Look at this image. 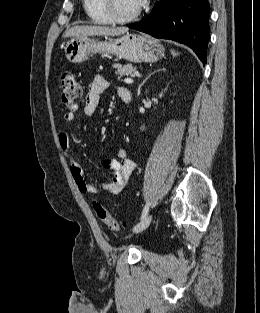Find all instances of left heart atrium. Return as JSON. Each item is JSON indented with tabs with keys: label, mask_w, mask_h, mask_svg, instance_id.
Masks as SVG:
<instances>
[{
	"label": "left heart atrium",
	"mask_w": 260,
	"mask_h": 313,
	"mask_svg": "<svg viewBox=\"0 0 260 313\" xmlns=\"http://www.w3.org/2000/svg\"><path fill=\"white\" fill-rule=\"evenodd\" d=\"M140 5L143 4L145 2V0H138Z\"/></svg>",
	"instance_id": "1"
}]
</instances>
